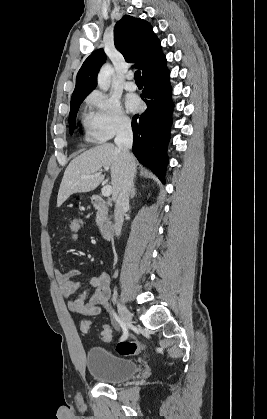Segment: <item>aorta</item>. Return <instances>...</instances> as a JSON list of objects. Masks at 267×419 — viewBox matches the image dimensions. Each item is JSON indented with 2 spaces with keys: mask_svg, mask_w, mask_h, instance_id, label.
<instances>
[{
  "mask_svg": "<svg viewBox=\"0 0 267 419\" xmlns=\"http://www.w3.org/2000/svg\"><path fill=\"white\" fill-rule=\"evenodd\" d=\"M113 73V68L111 65H104L98 74V86L100 89L107 91L110 88L111 84V75Z\"/></svg>",
  "mask_w": 267,
  "mask_h": 419,
  "instance_id": "1",
  "label": "aorta"
}]
</instances>
